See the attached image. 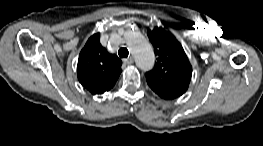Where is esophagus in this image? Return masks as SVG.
Segmentation results:
<instances>
[{"instance_id":"1","label":"esophagus","mask_w":263,"mask_h":146,"mask_svg":"<svg viewBox=\"0 0 263 146\" xmlns=\"http://www.w3.org/2000/svg\"><path fill=\"white\" fill-rule=\"evenodd\" d=\"M133 58L132 57H129V58H126V59H123V62L127 65H130L133 63Z\"/></svg>"}]
</instances>
